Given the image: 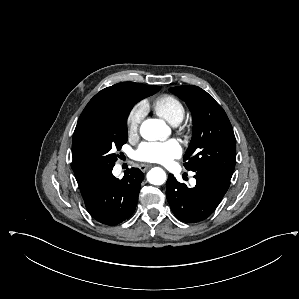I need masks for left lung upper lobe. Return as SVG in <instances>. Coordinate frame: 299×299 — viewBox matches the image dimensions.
I'll return each mask as SVG.
<instances>
[{
	"mask_svg": "<svg viewBox=\"0 0 299 299\" xmlns=\"http://www.w3.org/2000/svg\"><path fill=\"white\" fill-rule=\"evenodd\" d=\"M184 100L192 112V140L184 155L187 170H213L232 177L235 168L236 141L230 121L222 107L197 86L169 89Z\"/></svg>",
	"mask_w": 299,
	"mask_h": 299,
	"instance_id": "left-lung-upper-lobe-1",
	"label": "left lung upper lobe"
}]
</instances>
